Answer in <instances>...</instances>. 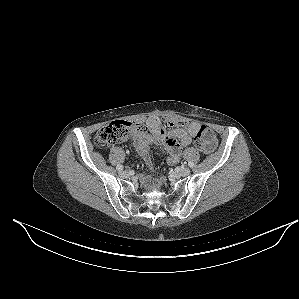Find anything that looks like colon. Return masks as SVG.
<instances>
[{
	"label": "colon",
	"mask_w": 299,
	"mask_h": 299,
	"mask_svg": "<svg viewBox=\"0 0 299 299\" xmlns=\"http://www.w3.org/2000/svg\"><path fill=\"white\" fill-rule=\"evenodd\" d=\"M173 126V123H169ZM142 124L132 123L126 120H115L103 126L95 136V144L99 147L111 146L134 137L137 130L142 129ZM207 128L201 126L200 130L195 135L196 147L204 152L212 149L209 142L205 141Z\"/></svg>",
	"instance_id": "colon-1"
}]
</instances>
